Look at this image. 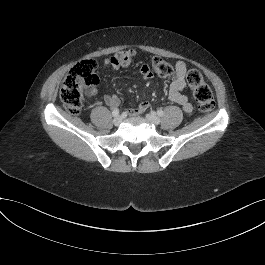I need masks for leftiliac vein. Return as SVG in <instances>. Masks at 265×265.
<instances>
[{"label":"left iliac vein","mask_w":265,"mask_h":265,"mask_svg":"<svg viewBox=\"0 0 265 265\" xmlns=\"http://www.w3.org/2000/svg\"><path fill=\"white\" fill-rule=\"evenodd\" d=\"M146 118L155 125L160 123V118L154 113L147 114Z\"/></svg>","instance_id":"left-iliac-vein-1"}]
</instances>
